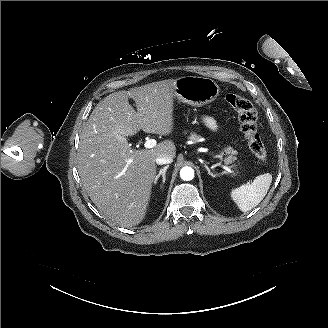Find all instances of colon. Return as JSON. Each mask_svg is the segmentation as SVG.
<instances>
[{
    "label": "colon",
    "instance_id": "5ec220e1",
    "mask_svg": "<svg viewBox=\"0 0 328 328\" xmlns=\"http://www.w3.org/2000/svg\"><path fill=\"white\" fill-rule=\"evenodd\" d=\"M226 102L236 111L250 152L260 161L268 158L267 149L257 132V112L252 102L237 94H227Z\"/></svg>",
    "mask_w": 328,
    "mask_h": 328
}]
</instances>
